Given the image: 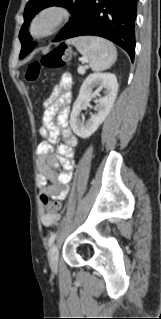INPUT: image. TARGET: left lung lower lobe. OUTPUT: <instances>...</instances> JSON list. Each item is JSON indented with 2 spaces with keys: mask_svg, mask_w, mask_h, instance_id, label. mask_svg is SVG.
Here are the masks:
<instances>
[{
  "mask_svg": "<svg viewBox=\"0 0 161 319\" xmlns=\"http://www.w3.org/2000/svg\"><path fill=\"white\" fill-rule=\"evenodd\" d=\"M137 1L91 0L83 16L63 39L83 35L100 36L122 47L133 61ZM30 47L28 44L20 58L30 52Z\"/></svg>",
  "mask_w": 161,
  "mask_h": 319,
  "instance_id": "0a47b994",
  "label": "left lung lower lobe"
}]
</instances>
